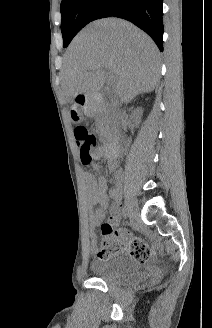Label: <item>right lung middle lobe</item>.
I'll return each mask as SVG.
<instances>
[{
    "mask_svg": "<svg viewBox=\"0 0 212 328\" xmlns=\"http://www.w3.org/2000/svg\"><path fill=\"white\" fill-rule=\"evenodd\" d=\"M103 0H62L60 11L62 15L61 31L63 47L71 42L73 37L93 19L94 12Z\"/></svg>",
    "mask_w": 212,
    "mask_h": 328,
    "instance_id": "right-lung-middle-lobe-1",
    "label": "right lung middle lobe"
}]
</instances>
